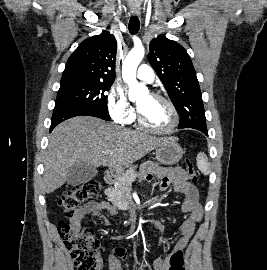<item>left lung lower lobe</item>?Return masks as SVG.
Masks as SVG:
<instances>
[{"instance_id": "left-lung-lower-lobe-1", "label": "left lung lower lobe", "mask_w": 267, "mask_h": 270, "mask_svg": "<svg viewBox=\"0 0 267 270\" xmlns=\"http://www.w3.org/2000/svg\"><path fill=\"white\" fill-rule=\"evenodd\" d=\"M191 128L197 129L203 132L206 136H208L207 128H203V127H191Z\"/></svg>"}]
</instances>
